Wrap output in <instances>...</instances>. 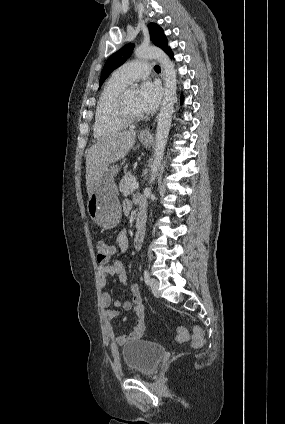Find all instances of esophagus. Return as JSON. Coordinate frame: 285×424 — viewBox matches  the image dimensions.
I'll return each instance as SVG.
<instances>
[{
  "label": "esophagus",
  "instance_id": "1",
  "mask_svg": "<svg viewBox=\"0 0 285 424\" xmlns=\"http://www.w3.org/2000/svg\"><path fill=\"white\" fill-rule=\"evenodd\" d=\"M161 77H162V79L164 81V70H163V67L162 66H161ZM140 136L141 137H150L151 136V131L149 129H145V130L141 131Z\"/></svg>",
  "mask_w": 285,
  "mask_h": 424
}]
</instances>
